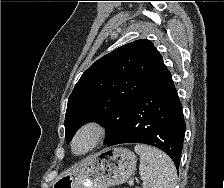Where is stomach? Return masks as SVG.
I'll return each instance as SVG.
<instances>
[{
    "instance_id": "0dacf381",
    "label": "stomach",
    "mask_w": 224,
    "mask_h": 188,
    "mask_svg": "<svg viewBox=\"0 0 224 188\" xmlns=\"http://www.w3.org/2000/svg\"><path fill=\"white\" fill-rule=\"evenodd\" d=\"M136 155L123 147L106 148L62 173L52 188H108L120 185L136 168Z\"/></svg>"
}]
</instances>
